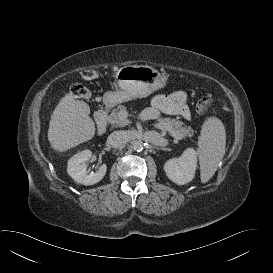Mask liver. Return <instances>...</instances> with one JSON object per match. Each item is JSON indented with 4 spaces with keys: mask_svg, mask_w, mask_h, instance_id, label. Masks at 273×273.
Wrapping results in <instances>:
<instances>
[{
    "mask_svg": "<svg viewBox=\"0 0 273 273\" xmlns=\"http://www.w3.org/2000/svg\"><path fill=\"white\" fill-rule=\"evenodd\" d=\"M87 103L66 95L56 106L48 129L52 149L67 151L93 138L95 124L89 116Z\"/></svg>",
    "mask_w": 273,
    "mask_h": 273,
    "instance_id": "liver-1",
    "label": "liver"
}]
</instances>
